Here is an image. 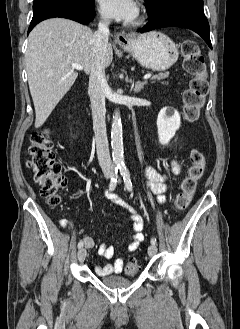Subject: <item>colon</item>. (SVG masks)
I'll list each match as a JSON object with an SVG mask.
<instances>
[{"label": "colon", "mask_w": 240, "mask_h": 329, "mask_svg": "<svg viewBox=\"0 0 240 329\" xmlns=\"http://www.w3.org/2000/svg\"><path fill=\"white\" fill-rule=\"evenodd\" d=\"M181 50L184 69L192 76L189 86L183 92V113L186 121L194 122L199 117L208 93L205 59L194 41H185ZM29 153L28 166L33 172L34 181L41 187V195L49 205L58 206L61 203L60 190L66 185V177L61 164L54 157L53 142L47 130L32 135ZM189 159L191 165L174 202L177 211H184L190 205L198 180L206 167L205 156L198 149L190 152ZM138 268V263L132 260L126 272L133 275Z\"/></svg>", "instance_id": "1"}]
</instances>
